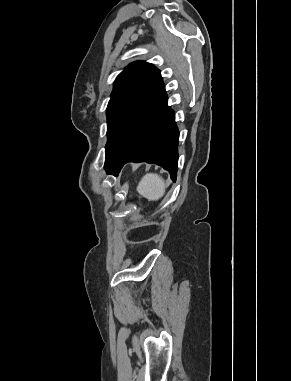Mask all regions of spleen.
I'll return each instance as SVG.
<instances>
[{"label": "spleen", "mask_w": 291, "mask_h": 381, "mask_svg": "<svg viewBox=\"0 0 291 381\" xmlns=\"http://www.w3.org/2000/svg\"><path fill=\"white\" fill-rule=\"evenodd\" d=\"M137 192L148 200L156 201L165 193V181L155 173H148L139 182Z\"/></svg>", "instance_id": "obj_1"}]
</instances>
